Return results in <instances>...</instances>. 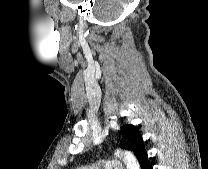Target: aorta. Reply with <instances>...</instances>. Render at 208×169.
I'll list each match as a JSON object with an SVG mask.
<instances>
[{
  "label": "aorta",
  "instance_id": "obj_1",
  "mask_svg": "<svg viewBox=\"0 0 208 169\" xmlns=\"http://www.w3.org/2000/svg\"><path fill=\"white\" fill-rule=\"evenodd\" d=\"M115 155L121 157L127 165V169H140L139 162L131 152L117 150Z\"/></svg>",
  "mask_w": 208,
  "mask_h": 169
}]
</instances>
